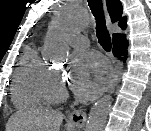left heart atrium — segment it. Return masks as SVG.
<instances>
[{"label":"left heart atrium","mask_w":151,"mask_h":131,"mask_svg":"<svg viewBox=\"0 0 151 131\" xmlns=\"http://www.w3.org/2000/svg\"><path fill=\"white\" fill-rule=\"evenodd\" d=\"M111 72L100 56L92 52L77 54L69 75V87L79 97H96L110 82Z\"/></svg>","instance_id":"left-heart-atrium-1"}]
</instances>
